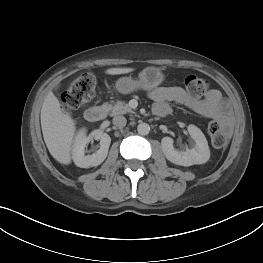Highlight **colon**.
Returning a JSON list of instances; mask_svg holds the SVG:
<instances>
[{"instance_id": "1", "label": "colon", "mask_w": 263, "mask_h": 263, "mask_svg": "<svg viewBox=\"0 0 263 263\" xmlns=\"http://www.w3.org/2000/svg\"><path fill=\"white\" fill-rule=\"evenodd\" d=\"M187 93L193 98L203 97L209 88L207 80L191 75L185 79ZM96 80L91 74H82L74 79L62 93L61 101L64 110L73 112L83 107L95 95ZM208 133L211 143L216 149H223L228 144V136L217 121H211L208 125Z\"/></svg>"}]
</instances>
